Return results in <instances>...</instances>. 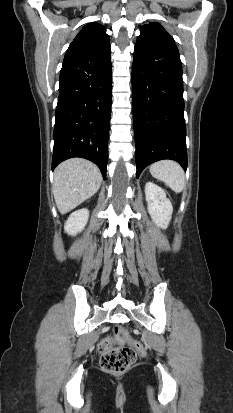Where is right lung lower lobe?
<instances>
[{
    "label": "right lung lower lobe",
    "instance_id": "obj_1",
    "mask_svg": "<svg viewBox=\"0 0 233 413\" xmlns=\"http://www.w3.org/2000/svg\"><path fill=\"white\" fill-rule=\"evenodd\" d=\"M110 51L108 44L63 61L52 169L66 159L82 157L94 162L106 178L112 90Z\"/></svg>",
    "mask_w": 233,
    "mask_h": 413
}]
</instances>
